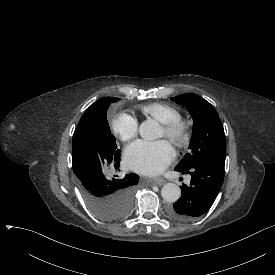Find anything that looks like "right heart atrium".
<instances>
[{
  "label": "right heart atrium",
  "mask_w": 275,
  "mask_h": 275,
  "mask_svg": "<svg viewBox=\"0 0 275 275\" xmlns=\"http://www.w3.org/2000/svg\"><path fill=\"white\" fill-rule=\"evenodd\" d=\"M110 127L113 135L125 143L132 142L138 133L137 120L124 113L115 116L111 120Z\"/></svg>",
  "instance_id": "right-heart-atrium-1"
}]
</instances>
